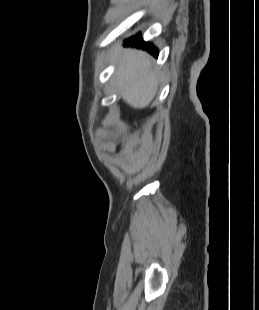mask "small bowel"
I'll use <instances>...</instances> for the list:
<instances>
[{"mask_svg": "<svg viewBox=\"0 0 259 310\" xmlns=\"http://www.w3.org/2000/svg\"><path fill=\"white\" fill-rule=\"evenodd\" d=\"M112 148V144L107 142L105 145H103V149L104 150H108V149H111Z\"/></svg>", "mask_w": 259, "mask_h": 310, "instance_id": "obj_1", "label": "small bowel"}]
</instances>
